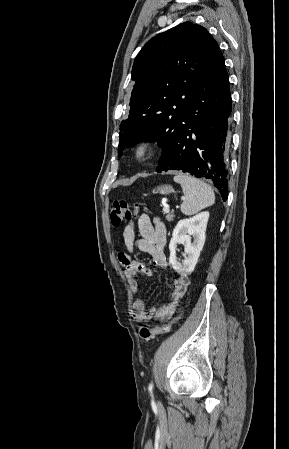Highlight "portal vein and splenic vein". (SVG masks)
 <instances>
[{
  "mask_svg": "<svg viewBox=\"0 0 289 449\" xmlns=\"http://www.w3.org/2000/svg\"><path fill=\"white\" fill-rule=\"evenodd\" d=\"M163 211H164L165 213H169V207H168V206H165V207L163 208Z\"/></svg>",
  "mask_w": 289,
  "mask_h": 449,
  "instance_id": "18ae733b",
  "label": "portal vein and splenic vein"
}]
</instances>
